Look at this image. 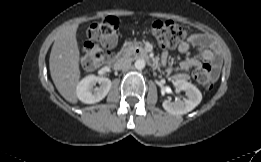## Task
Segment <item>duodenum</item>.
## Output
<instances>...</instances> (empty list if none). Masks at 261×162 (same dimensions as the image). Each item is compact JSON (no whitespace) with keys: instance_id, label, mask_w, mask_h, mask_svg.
<instances>
[{"instance_id":"1","label":"duodenum","mask_w":261,"mask_h":162,"mask_svg":"<svg viewBox=\"0 0 261 162\" xmlns=\"http://www.w3.org/2000/svg\"><path fill=\"white\" fill-rule=\"evenodd\" d=\"M132 53L136 56H139V57L147 60V62L154 65V62L149 58V54L145 49L134 48L132 50ZM120 62H121V58H119L113 52H108L106 54V58L104 60V65L108 68H115L116 66H118L120 64Z\"/></svg>"}]
</instances>
